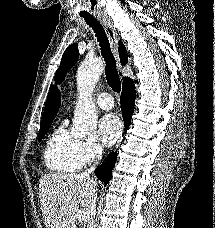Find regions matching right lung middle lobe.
<instances>
[{
  "label": "right lung middle lobe",
  "instance_id": "right-lung-middle-lobe-1",
  "mask_svg": "<svg viewBox=\"0 0 215 228\" xmlns=\"http://www.w3.org/2000/svg\"><path fill=\"white\" fill-rule=\"evenodd\" d=\"M51 122L50 123H44L40 125V131L38 135V140L41 141L45 134L47 133L48 129L50 128Z\"/></svg>",
  "mask_w": 215,
  "mask_h": 228
}]
</instances>
